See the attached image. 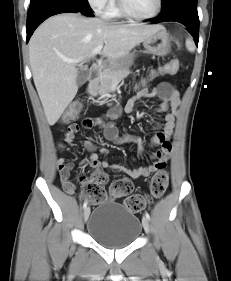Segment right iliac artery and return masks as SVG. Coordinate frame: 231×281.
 I'll return each mask as SVG.
<instances>
[{
	"mask_svg": "<svg viewBox=\"0 0 231 281\" xmlns=\"http://www.w3.org/2000/svg\"><path fill=\"white\" fill-rule=\"evenodd\" d=\"M87 207V201L84 202L83 208L85 209Z\"/></svg>",
	"mask_w": 231,
	"mask_h": 281,
	"instance_id": "right-iliac-artery-1",
	"label": "right iliac artery"
}]
</instances>
